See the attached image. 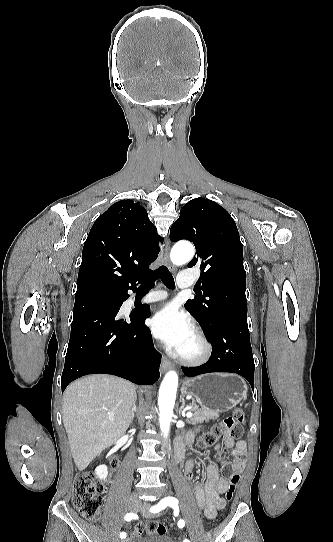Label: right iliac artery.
<instances>
[{
  "label": "right iliac artery",
  "mask_w": 333,
  "mask_h": 542,
  "mask_svg": "<svg viewBox=\"0 0 333 542\" xmlns=\"http://www.w3.org/2000/svg\"><path fill=\"white\" fill-rule=\"evenodd\" d=\"M124 518H125V520L130 521V520L132 519V514H131V513H127V514L125 515ZM120 538H122V539H123V538H126V533H125V532H121V533H120Z\"/></svg>",
  "instance_id": "obj_1"
}]
</instances>
